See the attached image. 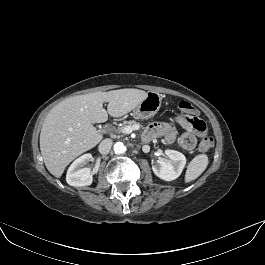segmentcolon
Here are the masks:
<instances>
[{
	"instance_id": "1",
	"label": "colon",
	"mask_w": 265,
	"mask_h": 265,
	"mask_svg": "<svg viewBox=\"0 0 265 265\" xmlns=\"http://www.w3.org/2000/svg\"><path fill=\"white\" fill-rule=\"evenodd\" d=\"M179 108L182 112L190 116H196L198 114L197 109L187 101L180 102ZM213 143V138L211 136L205 135L202 137L199 148L201 151H207L213 146Z\"/></svg>"
}]
</instances>
